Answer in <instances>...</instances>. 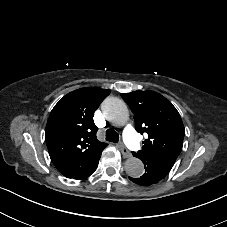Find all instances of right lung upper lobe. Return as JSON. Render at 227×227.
<instances>
[{"label":"right lung upper lobe","mask_w":227,"mask_h":227,"mask_svg":"<svg viewBox=\"0 0 227 227\" xmlns=\"http://www.w3.org/2000/svg\"><path fill=\"white\" fill-rule=\"evenodd\" d=\"M110 90L86 87L65 95L52 109L45 129L50 158L57 169L86 153L89 160L101 156L106 143L100 142L93 114Z\"/></svg>","instance_id":"right-lung-upper-lobe-1"}]
</instances>
